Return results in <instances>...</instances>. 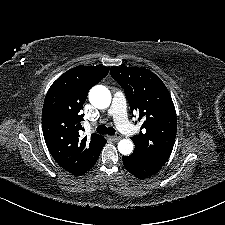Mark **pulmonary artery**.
<instances>
[{"instance_id": "e3ab8cb5", "label": "pulmonary artery", "mask_w": 225, "mask_h": 225, "mask_svg": "<svg viewBox=\"0 0 225 225\" xmlns=\"http://www.w3.org/2000/svg\"><path fill=\"white\" fill-rule=\"evenodd\" d=\"M107 113L112 116L119 129L123 132L129 133V122L126 117V100L121 92H116L114 98L108 107Z\"/></svg>"}]
</instances>
